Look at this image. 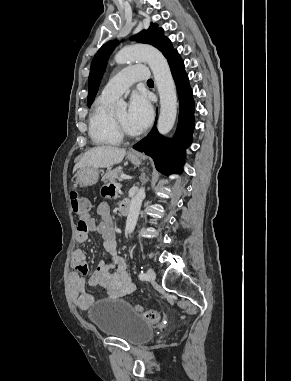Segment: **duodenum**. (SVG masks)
Instances as JSON below:
<instances>
[{
    "instance_id": "410a0bca",
    "label": "duodenum",
    "mask_w": 291,
    "mask_h": 381,
    "mask_svg": "<svg viewBox=\"0 0 291 381\" xmlns=\"http://www.w3.org/2000/svg\"><path fill=\"white\" fill-rule=\"evenodd\" d=\"M120 211L123 215H127L129 212V205L126 201L122 202L120 205Z\"/></svg>"
}]
</instances>
